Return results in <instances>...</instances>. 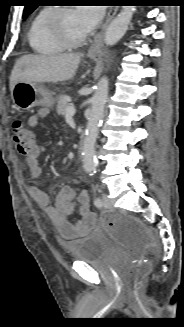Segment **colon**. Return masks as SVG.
Masks as SVG:
<instances>
[{"label": "colon", "instance_id": "5ec220e1", "mask_svg": "<svg viewBox=\"0 0 184 327\" xmlns=\"http://www.w3.org/2000/svg\"><path fill=\"white\" fill-rule=\"evenodd\" d=\"M13 139L18 152L21 155H29L36 148V137L32 130L26 127L22 121L17 120L12 126ZM103 222L108 226L111 235L118 241L137 247L139 255L134 261L132 269V282L130 290L137 302H141V289L150 265L145 257V251L152 243V237L143 224L130 216L117 213L103 215Z\"/></svg>", "mask_w": 184, "mask_h": 327}]
</instances>
